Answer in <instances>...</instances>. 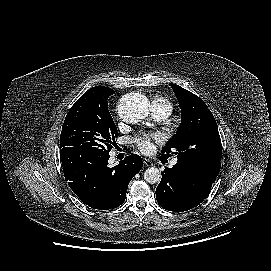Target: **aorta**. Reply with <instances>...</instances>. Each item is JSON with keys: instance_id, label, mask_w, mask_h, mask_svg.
I'll list each match as a JSON object with an SVG mask.
<instances>
[{"instance_id": "aorta-1", "label": "aorta", "mask_w": 271, "mask_h": 271, "mask_svg": "<svg viewBox=\"0 0 271 271\" xmlns=\"http://www.w3.org/2000/svg\"><path fill=\"white\" fill-rule=\"evenodd\" d=\"M149 111L148 99L137 93L126 95L121 100L120 116L129 123H137L143 120ZM144 179L150 184H155L161 180V172L156 167H149L144 172Z\"/></svg>"}]
</instances>
